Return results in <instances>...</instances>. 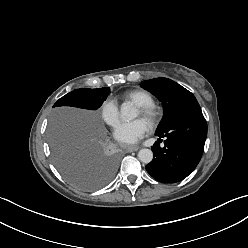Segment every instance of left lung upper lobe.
<instances>
[{
	"mask_svg": "<svg viewBox=\"0 0 248 248\" xmlns=\"http://www.w3.org/2000/svg\"><path fill=\"white\" fill-rule=\"evenodd\" d=\"M143 84V88L158 97L163 104L164 114L156 132L163 131L188 108L199 105L190 91L171 79L155 78Z\"/></svg>",
	"mask_w": 248,
	"mask_h": 248,
	"instance_id": "5c2ea615",
	"label": "left lung upper lobe"
}]
</instances>
